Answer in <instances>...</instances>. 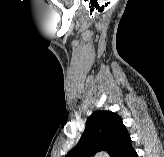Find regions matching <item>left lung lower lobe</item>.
Returning a JSON list of instances; mask_svg holds the SVG:
<instances>
[{
  "label": "left lung lower lobe",
  "mask_w": 164,
  "mask_h": 157,
  "mask_svg": "<svg viewBox=\"0 0 164 157\" xmlns=\"http://www.w3.org/2000/svg\"><path fill=\"white\" fill-rule=\"evenodd\" d=\"M111 157H138L136 151L131 146V138L123 142Z\"/></svg>",
  "instance_id": "1"
}]
</instances>
